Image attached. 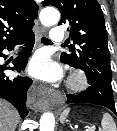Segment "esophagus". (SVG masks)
<instances>
[{
    "mask_svg": "<svg viewBox=\"0 0 117 131\" xmlns=\"http://www.w3.org/2000/svg\"><path fill=\"white\" fill-rule=\"evenodd\" d=\"M44 33L45 29L40 27L36 33V40L39 41ZM54 94L55 93L52 89L33 86V89L28 97L30 107L35 111H44L49 109L50 100Z\"/></svg>",
    "mask_w": 117,
    "mask_h": 131,
    "instance_id": "1",
    "label": "esophagus"
}]
</instances>
